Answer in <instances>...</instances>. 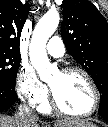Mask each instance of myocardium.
<instances>
[{"label":"myocardium","instance_id":"f54148a6","mask_svg":"<svg viewBox=\"0 0 108 127\" xmlns=\"http://www.w3.org/2000/svg\"><path fill=\"white\" fill-rule=\"evenodd\" d=\"M60 73H62V74H69V73L81 74L85 78L86 82L88 83V85L90 87V90L92 93V105L87 112H84L81 114L69 113V112L65 111L60 106V104L58 103V100L56 98V95L50 86V102H49V104H50L51 108L58 114L67 116V117L86 118V117L91 116L96 111V109L98 108V105H99V92H98L97 86H96L93 78L91 77V75L85 69L77 67V66L65 67L60 71Z\"/></svg>","mask_w":108,"mask_h":127}]
</instances>
